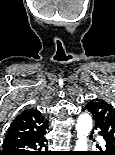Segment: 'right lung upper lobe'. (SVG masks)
Returning <instances> with one entry per match:
<instances>
[{
  "label": "right lung upper lobe",
  "instance_id": "cb5924a9",
  "mask_svg": "<svg viewBox=\"0 0 115 155\" xmlns=\"http://www.w3.org/2000/svg\"><path fill=\"white\" fill-rule=\"evenodd\" d=\"M48 122L35 109L24 110L10 125L3 146L21 142L46 133Z\"/></svg>",
  "mask_w": 115,
  "mask_h": 155
}]
</instances>
